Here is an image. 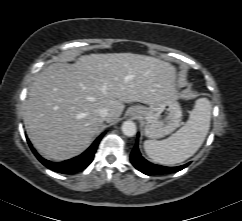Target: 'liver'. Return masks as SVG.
Listing matches in <instances>:
<instances>
[{"label": "liver", "mask_w": 242, "mask_h": 221, "mask_svg": "<svg viewBox=\"0 0 242 221\" xmlns=\"http://www.w3.org/2000/svg\"><path fill=\"white\" fill-rule=\"evenodd\" d=\"M176 68L133 53L89 54L74 64L53 63L39 73L24 106L27 135L46 159L81 154L103 126L115 122L124 103L150 106L177 99ZM109 110L108 119L99 109Z\"/></svg>", "instance_id": "obj_1"}]
</instances>
